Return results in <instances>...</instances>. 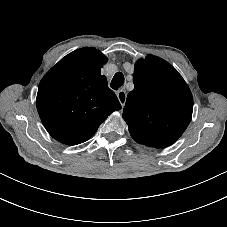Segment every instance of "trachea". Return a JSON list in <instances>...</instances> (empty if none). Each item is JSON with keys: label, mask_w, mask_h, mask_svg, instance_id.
Instances as JSON below:
<instances>
[{"label": "trachea", "mask_w": 227, "mask_h": 227, "mask_svg": "<svg viewBox=\"0 0 227 227\" xmlns=\"http://www.w3.org/2000/svg\"><path fill=\"white\" fill-rule=\"evenodd\" d=\"M124 83V75L121 72H117L112 81H111V88L114 90H118L119 87H121Z\"/></svg>", "instance_id": "obj_1"}]
</instances>
